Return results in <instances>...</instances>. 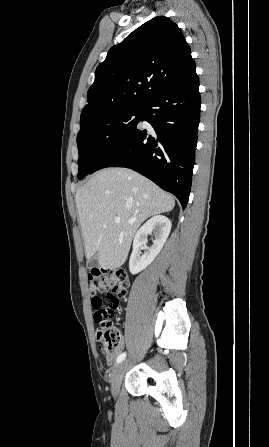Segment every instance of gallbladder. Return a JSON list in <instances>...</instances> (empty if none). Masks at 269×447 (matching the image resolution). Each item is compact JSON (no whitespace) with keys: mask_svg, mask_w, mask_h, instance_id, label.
Segmentation results:
<instances>
[{"mask_svg":"<svg viewBox=\"0 0 269 447\" xmlns=\"http://www.w3.org/2000/svg\"><path fill=\"white\" fill-rule=\"evenodd\" d=\"M98 265V259L95 257V259H92V261H88L87 267H97Z\"/></svg>","mask_w":269,"mask_h":447,"instance_id":"bac80fb5","label":"gallbladder"}]
</instances>
